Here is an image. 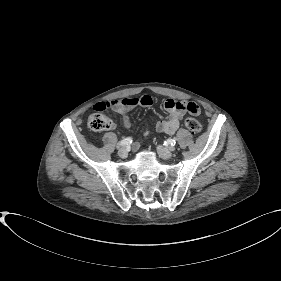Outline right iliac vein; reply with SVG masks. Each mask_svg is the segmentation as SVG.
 Returning a JSON list of instances; mask_svg holds the SVG:
<instances>
[{"label": "right iliac vein", "instance_id": "obj_1", "mask_svg": "<svg viewBox=\"0 0 281 281\" xmlns=\"http://www.w3.org/2000/svg\"><path fill=\"white\" fill-rule=\"evenodd\" d=\"M127 150L125 147H121L119 148L118 150V155L121 157V158H126L127 157Z\"/></svg>", "mask_w": 281, "mask_h": 281}]
</instances>
